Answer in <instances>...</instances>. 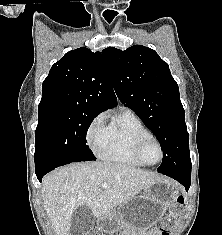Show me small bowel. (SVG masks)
I'll return each instance as SVG.
<instances>
[{"label":"small bowel","mask_w":222,"mask_h":235,"mask_svg":"<svg viewBox=\"0 0 222 235\" xmlns=\"http://www.w3.org/2000/svg\"><path fill=\"white\" fill-rule=\"evenodd\" d=\"M152 235H158V233L156 231H153Z\"/></svg>","instance_id":"1"}]
</instances>
